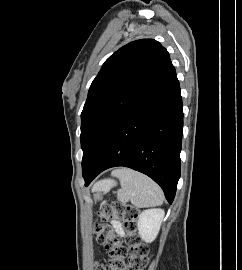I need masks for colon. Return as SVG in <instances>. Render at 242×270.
<instances>
[{
	"instance_id": "1",
	"label": "colon",
	"mask_w": 242,
	"mask_h": 270,
	"mask_svg": "<svg viewBox=\"0 0 242 270\" xmlns=\"http://www.w3.org/2000/svg\"><path fill=\"white\" fill-rule=\"evenodd\" d=\"M97 216L99 222L95 230L96 240L108 251L109 260L105 264H97L95 270H145L148 264V247L137 231V209L121 202H113L102 206ZM111 219L123 223V239L113 232L108 223Z\"/></svg>"
}]
</instances>
